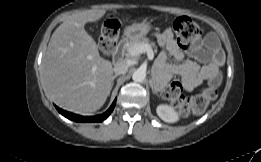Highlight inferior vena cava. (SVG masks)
<instances>
[{"label":"inferior vena cava","mask_w":261,"mask_h":162,"mask_svg":"<svg viewBox=\"0 0 261 162\" xmlns=\"http://www.w3.org/2000/svg\"><path fill=\"white\" fill-rule=\"evenodd\" d=\"M130 64L128 61L126 60H118L115 64H114V68L113 71L115 72V74H125L129 68Z\"/></svg>","instance_id":"602c4592"}]
</instances>
